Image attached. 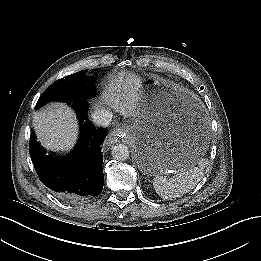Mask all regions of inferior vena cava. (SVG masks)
I'll use <instances>...</instances> for the list:
<instances>
[{"label": "inferior vena cava", "instance_id": "obj_1", "mask_svg": "<svg viewBox=\"0 0 261 261\" xmlns=\"http://www.w3.org/2000/svg\"><path fill=\"white\" fill-rule=\"evenodd\" d=\"M92 121L98 126H108L111 121L113 114L110 110L104 108L96 109L92 115Z\"/></svg>", "mask_w": 261, "mask_h": 261}]
</instances>
